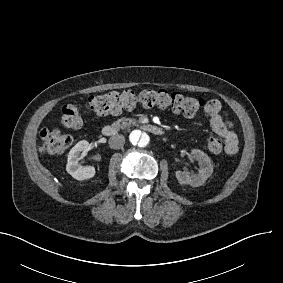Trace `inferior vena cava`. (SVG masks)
<instances>
[{"mask_svg":"<svg viewBox=\"0 0 283 283\" xmlns=\"http://www.w3.org/2000/svg\"><path fill=\"white\" fill-rule=\"evenodd\" d=\"M109 146L112 149H120L125 143V137L123 135H113L109 138Z\"/></svg>","mask_w":283,"mask_h":283,"instance_id":"1","label":"inferior vena cava"}]
</instances>
